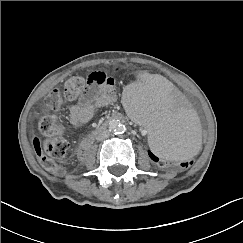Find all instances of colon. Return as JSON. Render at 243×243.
Wrapping results in <instances>:
<instances>
[{
  "label": "colon",
  "mask_w": 243,
  "mask_h": 243,
  "mask_svg": "<svg viewBox=\"0 0 243 243\" xmlns=\"http://www.w3.org/2000/svg\"><path fill=\"white\" fill-rule=\"evenodd\" d=\"M119 68H114L110 73L96 71L94 68H88L85 71L86 78L74 76L69 78L62 89L52 90L46 97V107L51 111H57L66 100H73L79 97L86 89L93 85H113L114 75ZM38 130L46 138L41 141L40 138L33 139V148L39 158L40 164L44 170L60 175L63 169L59 164L67 154L69 149L68 141L61 136L63 125L53 114H44L38 119ZM147 160L154 165L171 170L173 167L177 170H188L198 165L199 159L196 156L188 161H177L175 164L171 161L161 159L151 149L145 148L143 151Z\"/></svg>",
  "instance_id": "5ec220e1"
}]
</instances>
